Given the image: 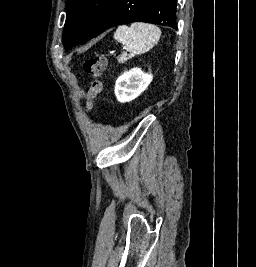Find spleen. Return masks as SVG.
<instances>
[{
  "mask_svg": "<svg viewBox=\"0 0 256 267\" xmlns=\"http://www.w3.org/2000/svg\"><path fill=\"white\" fill-rule=\"evenodd\" d=\"M161 36L160 28L154 24H142V22H135L128 26H119L114 32V40L124 44L131 56H138V54H145L152 50L158 44Z\"/></svg>",
  "mask_w": 256,
  "mask_h": 267,
  "instance_id": "1",
  "label": "spleen"
}]
</instances>
